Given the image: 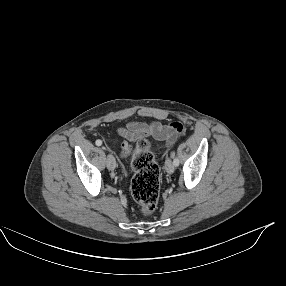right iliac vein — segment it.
<instances>
[{"label": "right iliac vein", "mask_w": 286, "mask_h": 286, "mask_svg": "<svg viewBox=\"0 0 286 286\" xmlns=\"http://www.w3.org/2000/svg\"><path fill=\"white\" fill-rule=\"evenodd\" d=\"M107 167L109 170H114L116 167V161L112 155L107 156Z\"/></svg>", "instance_id": "right-iliac-vein-1"}]
</instances>
